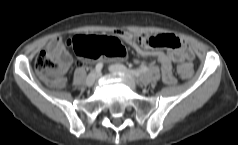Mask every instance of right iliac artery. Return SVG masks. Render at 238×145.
I'll use <instances>...</instances> for the list:
<instances>
[{"label": "right iliac artery", "instance_id": "obj_1", "mask_svg": "<svg viewBox=\"0 0 238 145\" xmlns=\"http://www.w3.org/2000/svg\"><path fill=\"white\" fill-rule=\"evenodd\" d=\"M103 68V63H98L95 67V71L96 72H100Z\"/></svg>", "mask_w": 238, "mask_h": 145}]
</instances>
